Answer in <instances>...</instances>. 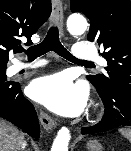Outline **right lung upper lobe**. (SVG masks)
<instances>
[{"label": "right lung upper lobe", "instance_id": "cb5924a9", "mask_svg": "<svg viewBox=\"0 0 131 151\" xmlns=\"http://www.w3.org/2000/svg\"><path fill=\"white\" fill-rule=\"evenodd\" d=\"M50 13V0H0V63L8 62L9 52H20V37H27L30 45Z\"/></svg>", "mask_w": 131, "mask_h": 151}]
</instances>
